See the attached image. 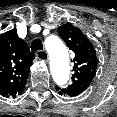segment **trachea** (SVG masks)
Here are the masks:
<instances>
[{"instance_id": "trachea-1", "label": "trachea", "mask_w": 117, "mask_h": 117, "mask_svg": "<svg viewBox=\"0 0 117 117\" xmlns=\"http://www.w3.org/2000/svg\"><path fill=\"white\" fill-rule=\"evenodd\" d=\"M41 50H43L42 41L39 38L34 39L31 43V51L36 52Z\"/></svg>"}]
</instances>
